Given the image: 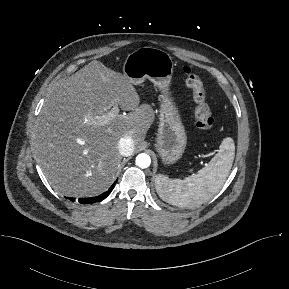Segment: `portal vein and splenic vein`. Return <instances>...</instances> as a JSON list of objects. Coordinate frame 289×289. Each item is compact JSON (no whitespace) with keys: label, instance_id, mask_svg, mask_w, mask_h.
<instances>
[{"label":"portal vein and splenic vein","instance_id":"1","mask_svg":"<svg viewBox=\"0 0 289 289\" xmlns=\"http://www.w3.org/2000/svg\"><path fill=\"white\" fill-rule=\"evenodd\" d=\"M119 113L118 106H114L110 111L107 113H104L101 116H96L93 118V123L97 125H103L107 124L110 120H112L114 117H116Z\"/></svg>","mask_w":289,"mask_h":289}]
</instances>
